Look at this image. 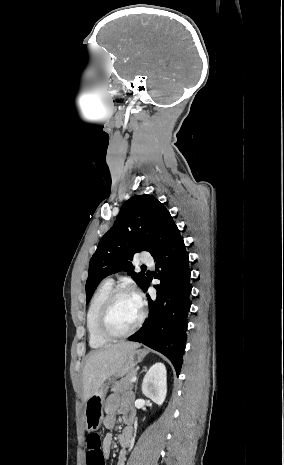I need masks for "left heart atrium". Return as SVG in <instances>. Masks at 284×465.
<instances>
[{
    "instance_id": "39dd6f15",
    "label": "left heart atrium",
    "mask_w": 284,
    "mask_h": 465,
    "mask_svg": "<svg viewBox=\"0 0 284 465\" xmlns=\"http://www.w3.org/2000/svg\"><path fill=\"white\" fill-rule=\"evenodd\" d=\"M135 296H136L137 301H139L140 300V295L138 293H136Z\"/></svg>"
}]
</instances>
